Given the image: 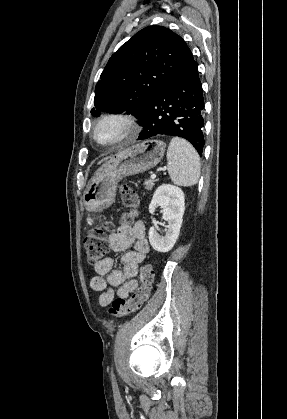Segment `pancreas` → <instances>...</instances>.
Instances as JSON below:
<instances>
[{"mask_svg": "<svg viewBox=\"0 0 287 419\" xmlns=\"http://www.w3.org/2000/svg\"><path fill=\"white\" fill-rule=\"evenodd\" d=\"M154 180H151V179H149V180H145V182H144V186H145V189L147 190V191H149V190H152V188H153V186H154Z\"/></svg>", "mask_w": 287, "mask_h": 419, "instance_id": "cf45deb5", "label": "pancreas"}]
</instances>
